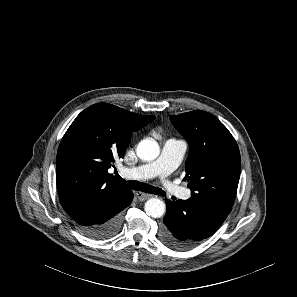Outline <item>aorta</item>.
<instances>
[{
	"label": "aorta",
	"instance_id": "762f6f07",
	"mask_svg": "<svg viewBox=\"0 0 297 297\" xmlns=\"http://www.w3.org/2000/svg\"><path fill=\"white\" fill-rule=\"evenodd\" d=\"M136 152L140 159L151 161L158 157L160 148L156 141L144 139L138 144ZM144 209L148 216L159 218L165 213L166 205L158 198H151L145 203Z\"/></svg>",
	"mask_w": 297,
	"mask_h": 297
}]
</instances>
